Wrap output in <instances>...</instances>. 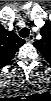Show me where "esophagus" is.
I'll return each mask as SVG.
<instances>
[{
  "mask_svg": "<svg viewBox=\"0 0 51 101\" xmlns=\"http://www.w3.org/2000/svg\"><path fill=\"white\" fill-rule=\"evenodd\" d=\"M26 41L28 43H32L34 41V36L33 35H29V37L26 39Z\"/></svg>",
  "mask_w": 51,
  "mask_h": 101,
  "instance_id": "esophagus-1",
  "label": "esophagus"
}]
</instances>
